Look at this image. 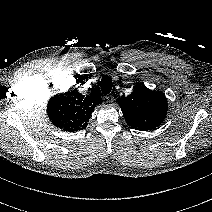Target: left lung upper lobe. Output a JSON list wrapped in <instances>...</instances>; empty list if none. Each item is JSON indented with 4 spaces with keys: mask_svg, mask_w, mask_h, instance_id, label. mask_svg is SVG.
<instances>
[{
    "mask_svg": "<svg viewBox=\"0 0 212 212\" xmlns=\"http://www.w3.org/2000/svg\"><path fill=\"white\" fill-rule=\"evenodd\" d=\"M123 116L129 126L141 131L159 127L167 114V99L161 92L139 86L118 100Z\"/></svg>",
    "mask_w": 212,
    "mask_h": 212,
    "instance_id": "left-lung-upper-lobe-1",
    "label": "left lung upper lobe"
}]
</instances>
